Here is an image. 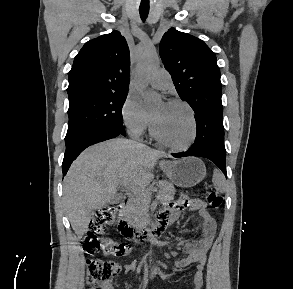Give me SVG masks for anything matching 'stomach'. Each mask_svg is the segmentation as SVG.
Masks as SVG:
<instances>
[{
	"instance_id": "1",
	"label": "stomach",
	"mask_w": 293,
	"mask_h": 289,
	"mask_svg": "<svg viewBox=\"0 0 293 289\" xmlns=\"http://www.w3.org/2000/svg\"><path fill=\"white\" fill-rule=\"evenodd\" d=\"M166 176L176 185L192 187L200 183L206 175L203 161L196 157L181 158L160 164Z\"/></svg>"
}]
</instances>
